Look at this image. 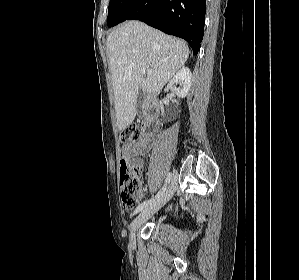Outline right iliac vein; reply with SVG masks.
Returning <instances> with one entry per match:
<instances>
[{"label": "right iliac vein", "mask_w": 299, "mask_h": 280, "mask_svg": "<svg viewBox=\"0 0 299 280\" xmlns=\"http://www.w3.org/2000/svg\"><path fill=\"white\" fill-rule=\"evenodd\" d=\"M177 189V173H173V179L166 191L150 206H147L130 224L129 240L131 246H135V234L140 226L153 216L161 207H163L173 196Z\"/></svg>", "instance_id": "63e3f726"}]
</instances>
